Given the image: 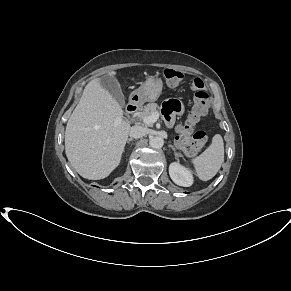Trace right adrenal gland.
Returning a JSON list of instances; mask_svg holds the SVG:
<instances>
[{
    "label": "right adrenal gland",
    "instance_id": "1",
    "mask_svg": "<svg viewBox=\"0 0 291 291\" xmlns=\"http://www.w3.org/2000/svg\"><path fill=\"white\" fill-rule=\"evenodd\" d=\"M130 141H133V139H132V138H129V139H128V143H129Z\"/></svg>",
    "mask_w": 291,
    "mask_h": 291
}]
</instances>
